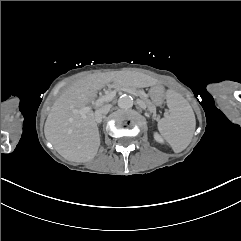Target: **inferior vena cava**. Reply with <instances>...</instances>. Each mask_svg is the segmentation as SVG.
Wrapping results in <instances>:
<instances>
[{
	"mask_svg": "<svg viewBox=\"0 0 241 241\" xmlns=\"http://www.w3.org/2000/svg\"><path fill=\"white\" fill-rule=\"evenodd\" d=\"M111 107H112L111 104H107V105H104L103 107L99 108L98 110H96L95 121L97 123H100L103 119V115L107 114L110 111Z\"/></svg>",
	"mask_w": 241,
	"mask_h": 241,
	"instance_id": "obj_1",
	"label": "inferior vena cava"
}]
</instances>
